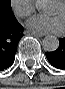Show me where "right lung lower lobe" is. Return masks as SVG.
<instances>
[{
    "label": "right lung lower lobe",
    "instance_id": "right-lung-lower-lobe-1",
    "mask_svg": "<svg viewBox=\"0 0 65 89\" xmlns=\"http://www.w3.org/2000/svg\"><path fill=\"white\" fill-rule=\"evenodd\" d=\"M23 30L15 16L0 14V71L7 69L14 62Z\"/></svg>",
    "mask_w": 65,
    "mask_h": 89
}]
</instances>
